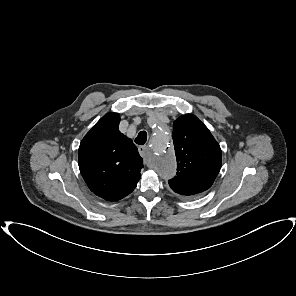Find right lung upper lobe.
Returning <instances> with one entry per match:
<instances>
[{
    "mask_svg": "<svg viewBox=\"0 0 296 296\" xmlns=\"http://www.w3.org/2000/svg\"><path fill=\"white\" fill-rule=\"evenodd\" d=\"M118 113L104 115L79 147V169L97 196L117 201L136 187L143 160L132 140L119 131Z\"/></svg>",
    "mask_w": 296,
    "mask_h": 296,
    "instance_id": "1",
    "label": "right lung upper lobe"
}]
</instances>
